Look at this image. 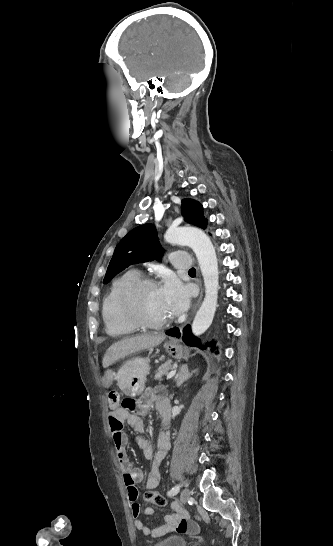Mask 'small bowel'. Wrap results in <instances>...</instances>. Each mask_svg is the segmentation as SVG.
<instances>
[{"instance_id": "obj_1", "label": "small bowel", "mask_w": 333, "mask_h": 546, "mask_svg": "<svg viewBox=\"0 0 333 546\" xmlns=\"http://www.w3.org/2000/svg\"><path fill=\"white\" fill-rule=\"evenodd\" d=\"M115 371L107 370L106 379L103 381L105 388L112 386ZM155 405L160 415V433L157 440L156 448L151 439L141 436L144 432V423L142 416L147 410ZM127 423L131 426L138 436L136 442L142 450L146 459L151 460L150 472L146 479V487L154 489L161 482L160 465L170 448V432H169V403L165 395L156 389H147L140 399L135 402L133 408L117 407L108 416V425L113 444L117 454V460L120 471L122 473L123 482L127 490L128 498L131 502L132 514L137 517L141 507L137 502L138 490L136 484L143 479V472L140 468L135 467L130 462L126 453L127 437L123 431V425ZM172 513L166 514L163 523L154 529H150L141 520H135V527L146 535L161 536L176 528L177 532L183 533L191 527H195L189 522L188 513L182 509L178 503L173 502L170 505ZM145 515L151 516L153 509L145 508Z\"/></svg>"}]
</instances>
